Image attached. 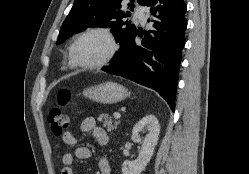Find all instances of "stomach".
Listing matches in <instances>:
<instances>
[{
  "mask_svg": "<svg viewBox=\"0 0 249 174\" xmlns=\"http://www.w3.org/2000/svg\"><path fill=\"white\" fill-rule=\"evenodd\" d=\"M83 95L93 101L104 104H113L126 99L128 90L115 82H105L84 89Z\"/></svg>",
  "mask_w": 249,
  "mask_h": 174,
  "instance_id": "1",
  "label": "stomach"
}]
</instances>
